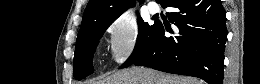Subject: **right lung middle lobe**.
Instances as JSON below:
<instances>
[{"label":"right lung middle lobe","mask_w":260,"mask_h":84,"mask_svg":"<svg viewBox=\"0 0 260 84\" xmlns=\"http://www.w3.org/2000/svg\"><path fill=\"white\" fill-rule=\"evenodd\" d=\"M114 20H104L93 23L76 41L74 56L73 75L76 79L81 80L93 72L92 55L105 30ZM139 34L136 46L128 60L122 65L123 68L133 64L141 57L150 47L158 24L149 25L138 19Z\"/></svg>","instance_id":"obj_1"}]
</instances>
